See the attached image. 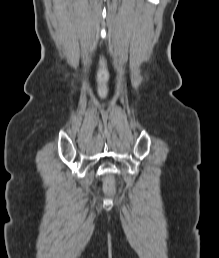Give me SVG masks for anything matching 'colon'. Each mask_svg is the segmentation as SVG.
<instances>
[{
    "mask_svg": "<svg viewBox=\"0 0 219 258\" xmlns=\"http://www.w3.org/2000/svg\"><path fill=\"white\" fill-rule=\"evenodd\" d=\"M113 183L114 179L112 175H108L106 178V190L108 194L112 195L113 194Z\"/></svg>",
    "mask_w": 219,
    "mask_h": 258,
    "instance_id": "1",
    "label": "colon"
}]
</instances>
